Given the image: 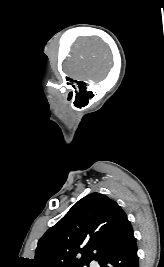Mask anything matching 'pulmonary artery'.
I'll use <instances>...</instances> for the list:
<instances>
[{
  "label": "pulmonary artery",
  "mask_w": 164,
  "mask_h": 267,
  "mask_svg": "<svg viewBox=\"0 0 164 267\" xmlns=\"http://www.w3.org/2000/svg\"><path fill=\"white\" fill-rule=\"evenodd\" d=\"M92 267H99L98 263H93Z\"/></svg>",
  "instance_id": "1"
}]
</instances>
